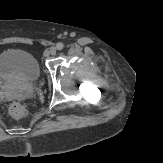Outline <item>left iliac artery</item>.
<instances>
[{"instance_id": "1", "label": "left iliac artery", "mask_w": 163, "mask_h": 163, "mask_svg": "<svg viewBox=\"0 0 163 163\" xmlns=\"http://www.w3.org/2000/svg\"><path fill=\"white\" fill-rule=\"evenodd\" d=\"M56 48H57L58 50H62V49L64 48V44L61 43V42H59V43H57Z\"/></svg>"}]
</instances>
